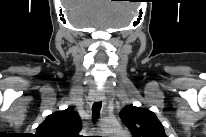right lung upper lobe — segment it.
I'll list each match as a JSON object with an SVG mask.
<instances>
[{"label": "right lung upper lobe", "mask_w": 206, "mask_h": 137, "mask_svg": "<svg viewBox=\"0 0 206 137\" xmlns=\"http://www.w3.org/2000/svg\"><path fill=\"white\" fill-rule=\"evenodd\" d=\"M81 130V119L73 108L57 111L47 116L37 127V137H77Z\"/></svg>", "instance_id": "1"}]
</instances>
